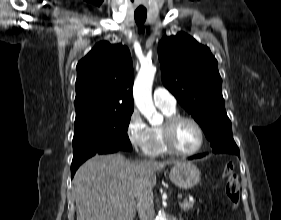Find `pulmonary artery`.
Listing matches in <instances>:
<instances>
[{
    "label": "pulmonary artery",
    "instance_id": "obj_1",
    "mask_svg": "<svg viewBox=\"0 0 281 220\" xmlns=\"http://www.w3.org/2000/svg\"><path fill=\"white\" fill-rule=\"evenodd\" d=\"M153 100L157 107L166 110H175L176 99L175 97L165 88L156 87L153 92Z\"/></svg>",
    "mask_w": 281,
    "mask_h": 220
}]
</instances>
